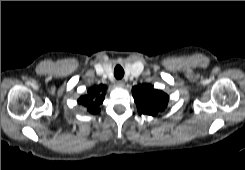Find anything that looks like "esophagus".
Listing matches in <instances>:
<instances>
[{"instance_id": "obj_1", "label": "esophagus", "mask_w": 245, "mask_h": 170, "mask_svg": "<svg viewBox=\"0 0 245 170\" xmlns=\"http://www.w3.org/2000/svg\"><path fill=\"white\" fill-rule=\"evenodd\" d=\"M116 86L119 88H123L125 86V83L123 80L116 81Z\"/></svg>"}]
</instances>
